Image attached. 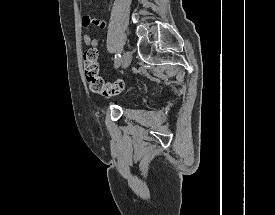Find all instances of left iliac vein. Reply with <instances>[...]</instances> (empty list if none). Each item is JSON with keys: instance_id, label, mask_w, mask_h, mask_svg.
Masks as SVG:
<instances>
[{"instance_id": "left-iliac-vein-1", "label": "left iliac vein", "mask_w": 275, "mask_h": 215, "mask_svg": "<svg viewBox=\"0 0 275 215\" xmlns=\"http://www.w3.org/2000/svg\"><path fill=\"white\" fill-rule=\"evenodd\" d=\"M132 60V54L129 51H125L122 58H121V65L125 69L127 68Z\"/></svg>"}]
</instances>
